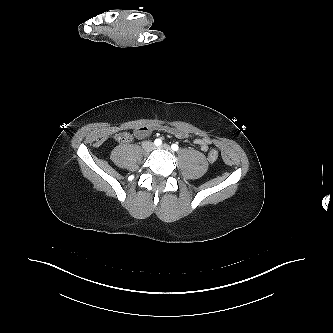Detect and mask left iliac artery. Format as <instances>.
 Masks as SVG:
<instances>
[{
  "instance_id": "44dca946",
  "label": "left iliac artery",
  "mask_w": 333,
  "mask_h": 333,
  "mask_svg": "<svg viewBox=\"0 0 333 333\" xmlns=\"http://www.w3.org/2000/svg\"><path fill=\"white\" fill-rule=\"evenodd\" d=\"M171 148H172L173 151H178L179 146L177 144H172Z\"/></svg>"
}]
</instances>
